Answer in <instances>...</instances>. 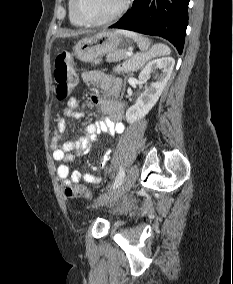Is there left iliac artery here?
Listing matches in <instances>:
<instances>
[{"instance_id":"obj_1","label":"left iliac artery","mask_w":233,"mask_h":284,"mask_svg":"<svg viewBox=\"0 0 233 284\" xmlns=\"http://www.w3.org/2000/svg\"><path fill=\"white\" fill-rule=\"evenodd\" d=\"M124 177H125L124 169L122 167H120L119 173H118V175H117V177H116V179H115V181L112 185L113 189L119 187L122 184Z\"/></svg>"}]
</instances>
